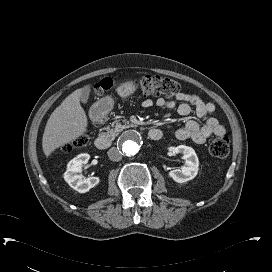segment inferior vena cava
Segmentation results:
<instances>
[{
	"mask_svg": "<svg viewBox=\"0 0 272 272\" xmlns=\"http://www.w3.org/2000/svg\"><path fill=\"white\" fill-rule=\"evenodd\" d=\"M108 157L111 161H120L122 159V153L116 147H111L108 151Z\"/></svg>",
	"mask_w": 272,
	"mask_h": 272,
	"instance_id": "inferior-vena-cava-1",
	"label": "inferior vena cava"
}]
</instances>
